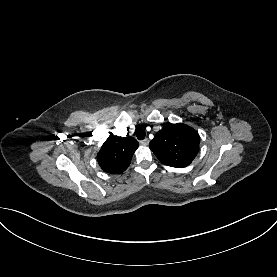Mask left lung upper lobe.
<instances>
[{
	"label": "left lung upper lobe",
	"instance_id": "1",
	"mask_svg": "<svg viewBox=\"0 0 277 277\" xmlns=\"http://www.w3.org/2000/svg\"><path fill=\"white\" fill-rule=\"evenodd\" d=\"M149 147L163 164L176 168L186 167L199 151V134L185 124L167 123Z\"/></svg>",
	"mask_w": 277,
	"mask_h": 277
}]
</instances>
